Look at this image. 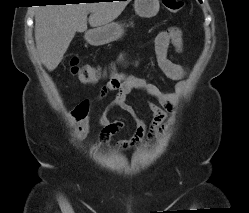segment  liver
Returning a JSON list of instances; mask_svg holds the SVG:
<instances>
[{"mask_svg":"<svg viewBox=\"0 0 249 213\" xmlns=\"http://www.w3.org/2000/svg\"><path fill=\"white\" fill-rule=\"evenodd\" d=\"M127 1L40 6L35 14V42L43 65L53 71L59 65L76 32L101 27L115 20Z\"/></svg>","mask_w":249,"mask_h":213,"instance_id":"1","label":"liver"}]
</instances>
